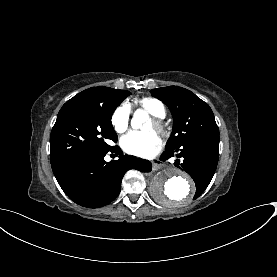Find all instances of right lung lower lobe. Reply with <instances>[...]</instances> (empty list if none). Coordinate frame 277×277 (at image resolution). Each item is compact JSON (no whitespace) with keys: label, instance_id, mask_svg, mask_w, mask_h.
I'll return each instance as SVG.
<instances>
[{"label":"right lung lower lobe","instance_id":"98d812e1","mask_svg":"<svg viewBox=\"0 0 277 277\" xmlns=\"http://www.w3.org/2000/svg\"><path fill=\"white\" fill-rule=\"evenodd\" d=\"M119 151V147L111 146L101 152L72 155L52 163V170L60 187L72 201L84 207H102L119 195L122 178L129 169L151 171L149 161L127 155H120L118 160L105 161L107 153L120 154Z\"/></svg>","mask_w":277,"mask_h":277}]
</instances>
